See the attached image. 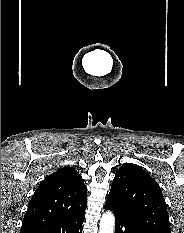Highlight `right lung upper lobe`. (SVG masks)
<instances>
[{"instance_id":"1","label":"right lung upper lobe","mask_w":184,"mask_h":233,"mask_svg":"<svg viewBox=\"0 0 184 233\" xmlns=\"http://www.w3.org/2000/svg\"><path fill=\"white\" fill-rule=\"evenodd\" d=\"M87 189L80 174L65 167L47 176L34 192L20 233L85 215Z\"/></svg>"}]
</instances>
